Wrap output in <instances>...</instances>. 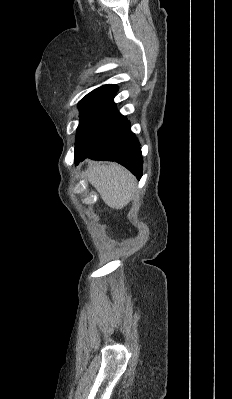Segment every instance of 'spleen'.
<instances>
[{"instance_id": "obj_1", "label": "spleen", "mask_w": 232, "mask_h": 399, "mask_svg": "<svg viewBox=\"0 0 232 399\" xmlns=\"http://www.w3.org/2000/svg\"><path fill=\"white\" fill-rule=\"evenodd\" d=\"M88 180L99 192L102 200L115 209L125 207L136 192L134 176L119 164L92 166L88 172Z\"/></svg>"}]
</instances>
